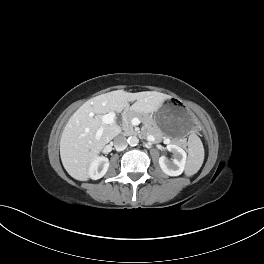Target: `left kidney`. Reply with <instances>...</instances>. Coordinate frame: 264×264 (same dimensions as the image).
I'll use <instances>...</instances> for the list:
<instances>
[{
  "label": "left kidney",
  "instance_id": "5707ae66",
  "mask_svg": "<svg viewBox=\"0 0 264 264\" xmlns=\"http://www.w3.org/2000/svg\"><path fill=\"white\" fill-rule=\"evenodd\" d=\"M167 150L173 153V159L170 161L165 156H161L159 158L160 168L169 176L181 175L186 166V152L175 144H168Z\"/></svg>",
  "mask_w": 264,
  "mask_h": 264
}]
</instances>
